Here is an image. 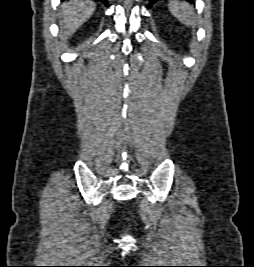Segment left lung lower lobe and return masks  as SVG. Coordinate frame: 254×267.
<instances>
[{"instance_id": "left-lung-lower-lobe-1", "label": "left lung lower lobe", "mask_w": 254, "mask_h": 267, "mask_svg": "<svg viewBox=\"0 0 254 267\" xmlns=\"http://www.w3.org/2000/svg\"><path fill=\"white\" fill-rule=\"evenodd\" d=\"M157 1H159V0H150V5H153L154 3H156ZM186 1H188V2H193V0H186Z\"/></svg>"}]
</instances>
